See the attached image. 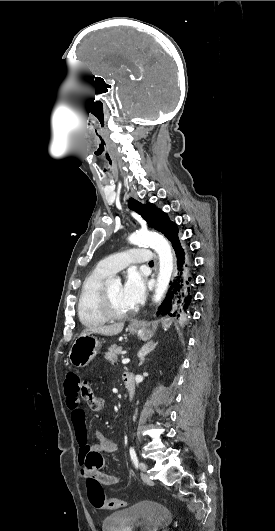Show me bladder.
I'll list each match as a JSON object with an SVG mask.
<instances>
[{"label":"bladder","instance_id":"31cf9c89","mask_svg":"<svg viewBox=\"0 0 275 531\" xmlns=\"http://www.w3.org/2000/svg\"><path fill=\"white\" fill-rule=\"evenodd\" d=\"M173 519L163 503L138 501L131 507L105 515L103 531H160Z\"/></svg>","mask_w":275,"mask_h":531}]
</instances>
